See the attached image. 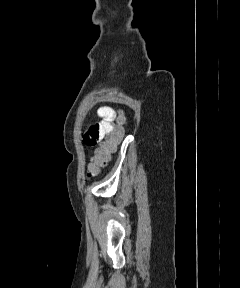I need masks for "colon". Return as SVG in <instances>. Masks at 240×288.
<instances>
[{
  "instance_id": "colon-1",
  "label": "colon",
  "mask_w": 240,
  "mask_h": 288,
  "mask_svg": "<svg viewBox=\"0 0 240 288\" xmlns=\"http://www.w3.org/2000/svg\"><path fill=\"white\" fill-rule=\"evenodd\" d=\"M122 122L123 118H120L119 125H117L112 132L107 134L96 148L87 168V175L89 177L96 175L115 152L123 136Z\"/></svg>"
}]
</instances>
